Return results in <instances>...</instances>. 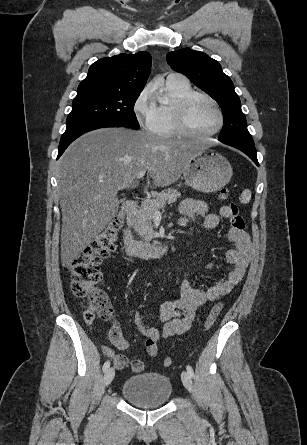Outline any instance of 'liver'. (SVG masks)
Here are the masks:
<instances>
[{"mask_svg":"<svg viewBox=\"0 0 307 445\" xmlns=\"http://www.w3.org/2000/svg\"><path fill=\"white\" fill-rule=\"evenodd\" d=\"M199 148L195 140L129 128H97L74 140L58 174L62 267L79 259L116 216L118 190L138 186L140 170H148L154 188L170 186Z\"/></svg>","mask_w":307,"mask_h":445,"instance_id":"1","label":"liver"}]
</instances>
